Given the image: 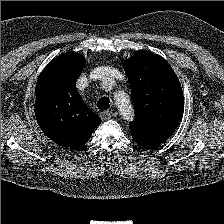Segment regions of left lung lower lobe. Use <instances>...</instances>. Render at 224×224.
<instances>
[{
  "label": "left lung lower lobe",
  "instance_id": "obj_1",
  "mask_svg": "<svg viewBox=\"0 0 224 224\" xmlns=\"http://www.w3.org/2000/svg\"><path fill=\"white\" fill-rule=\"evenodd\" d=\"M133 140L138 144L146 148H153L155 145L153 140H150L148 137L139 132H131Z\"/></svg>",
  "mask_w": 224,
  "mask_h": 224
}]
</instances>
